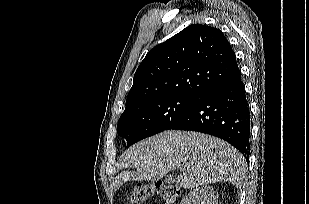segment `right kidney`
<instances>
[{"instance_id": "obj_1", "label": "right kidney", "mask_w": 309, "mask_h": 204, "mask_svg": "<svg viewBox=\"0 0 309 204\" xmlns=\"http://www.w3.org/2000/svg\"><path fill=\"white\" fill-rule=\"evenodd\" d=\"M215 191L211 186H203L194 189L184 199L181 204H218Z\"/></svg>"}]
</instances>
